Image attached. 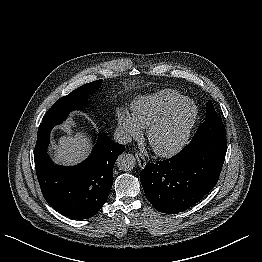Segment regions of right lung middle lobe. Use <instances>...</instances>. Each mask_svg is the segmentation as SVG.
Returning <instances> with one entry per match:
<instances>
[{
	"label": "right lung middle lobe",
	"instance_id": "right-lung-middle-lobe-1",
	"mask_svg": "<svg viewBox=\"0 0 262 262\" xmlns=\"http://www.w3.org/2000/svg\"><path fill=\"white\" fill-rule=\"evenodd\" d=\"M102 85V80L87 83L70 94L58 99L44 116L42 123H60L73 110L83 109L87 104L88 95Z\"/></svg>",
	"mask_w": 262,
	"mask_h": 262
}]
</instances>
